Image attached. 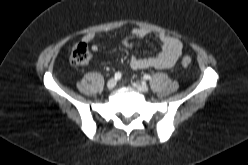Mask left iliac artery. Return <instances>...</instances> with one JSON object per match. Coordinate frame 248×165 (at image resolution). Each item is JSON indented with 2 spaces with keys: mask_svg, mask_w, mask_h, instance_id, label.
<instances>
[{
  "mask_svg": "<svg viewBox=\"0 0 248 165\" xmlns=\"http://www.w3.org/2000/svg\"><path fill=\"white\" fill-rule=\"evenodd\" d=\"M151 78V76L149 75V74H145L144 76H143V79L144 80H149Z\"/></svg>",
  "mask_w": 248,
  "mask_h": 165,
  "instance_id": "left-iliac-artery-1",
  "label": "left iliac artery"
}]
</instances>
